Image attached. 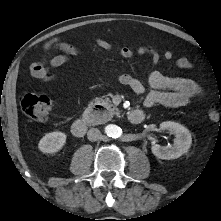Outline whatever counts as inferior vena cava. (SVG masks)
I'll return each mask as SVG.
<instances>
[{
  "instance_id": "602c4592",
  "label": "inferior vena cava",
  "mask_w": 221,
  "mask_h": 221,
  "mask_svg": "<svg viewBox=\"0 0 221 221\" xmlns=\"http://www.w3.org/2000/svg\"><path fill=\"white\" fill-rule=\"evenodd\" d=\"M87 137L90 141H97V140L101 139L102 134L99 129L91 128L87 132Z\"/></svg>"
}]
</instances>
